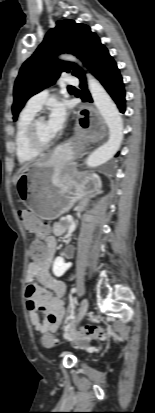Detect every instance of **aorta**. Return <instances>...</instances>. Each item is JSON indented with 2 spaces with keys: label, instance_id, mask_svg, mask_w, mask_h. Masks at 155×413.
Instances as JSON below:
<instances>
[{
  "label": "aorta",
  "instance_id": "obj_1",
  "mask_svg": "<svg viewBox=\"0 0 155 413\" xmlns=\"http://www.w3.org/2000/svg\"><path fill=\"white\" fill-rule=\"evenodd\" d=\"M62 58L78 62L75 57L70 55H63ZM87 81L94 104L109 129L108 141L93 151L86 159L88 167H97L110 160L120 148L123 140V120L115 103L100 82L91 74H87Z\"/></svg>",
  "mask_w": 155,
  "mask_h": 413
}]
</instances>
